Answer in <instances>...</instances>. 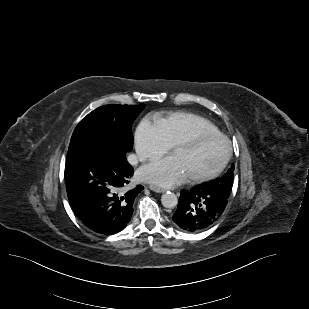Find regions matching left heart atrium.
Segmentation results:
<instances>
[{"label": "left heart atrium", "instance_id": "1", "mask_svg": "<svg viewBox=\"0 0 309 309\" xmlns=\"http://www.w3.org/2000/svg\"><path fill=\"white\" fill-rule=\"evenodd\" d=\"M138 177L143 181L161 186L177 185L188 178L180 160L175 155L143 166L138 171Z\"/></svg>", "mask_w": 309, "mask_h": 309}]
</instances>
